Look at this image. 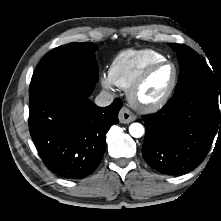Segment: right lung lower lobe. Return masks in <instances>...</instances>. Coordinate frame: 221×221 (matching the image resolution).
<instances>
[{"mask_svg":"<svg viewBox=\"0 0 221 221\" xmlns=\"http://www.w3.org/2000/svg\"><path fill=\"white\" fill-rule=\"evenodd\" d=\"M95 81L69 75L52 81L30 97L29 130L46 167L62 178L87 177L106 148L105 135L119 122L115 100L97 107L87 98Z\"/></svg>","mask_w":221,"mask_h":221,"instance_id":"obj_1","label":"right lung lower lobe"}]
</instances>
